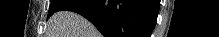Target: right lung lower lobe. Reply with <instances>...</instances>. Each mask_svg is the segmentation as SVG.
<instances>
[{"label": "right lung lower lobe", "instance_id": "1", "mask_svg": "<svg viewBox=\"0 0 219 37\" xmlns=\"http://www.w3.org/2000/svg\"><path fill=\"white\" fill-rule=\"evenodd\" d=\"M76 12L104 37H150L159 10L158 0H72L59 11Z\"/></svg>", "mask_w": 219, "mask_h": 37}]
</instances>
